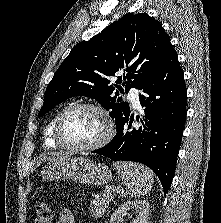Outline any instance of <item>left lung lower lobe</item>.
Masks as SVG:
<instances>
[{
    "label": "left lung lower lobe",
    "mask_w": 221,
    "mask_h": 223,
    "mask_svg": "<svg viewBox=\"0 0 221 223\" xmlns=\"http://www.w3.org/2000/svg\"><path fill=\"white\" fill-rule=\"evenodd\" d=\"M140 89L145 93L139 95L145 107L142 125H133L134 117L129 111L112 141L93 152L114 161L147 165L160 179L166 194L175 173L187 115L184 75L172 44L159 69Z\"/></svg>",
    "instance_id": "0a47b994"
}]
</instances>
